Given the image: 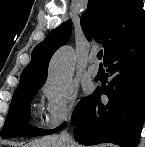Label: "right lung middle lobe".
Instances as JSON below:
<instances>
[{
	"instance_id": "right-lung-middle-lobe-1",
	"label": "right lung middle lobe",
	"mask_w": 145,
	"mask_h": 147,
	"mask_svg": "<svg viewBox=\"0 0 145 147\" xmlns=\"http://www.w3.org/2000/svg\"><path fill=\"white\" fill-rule=\"evenodd\" d=\"M41 87L42 86H33L15 91L4 127L1 130V137L12 138L48 135L57 132L65 125V123H63L60 127L54 130H43L28 125L31 101L37 90ZM84 99L85 98L77 104L74 111L79 108Z\"/></svg>"
}]
</instances>
